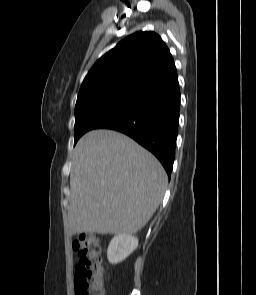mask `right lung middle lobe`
Masks as SVG:
<instances>
[{
	"mask_svg": "<svg viewBox=\"0 0 256 295\" xmlns=\"http://www.w3.org/2000/svg\"><path fill=\"white\" fill-rule=\"evenodd\" d=\"M136 92L115 95L94 104L75 106V143L87 131L99 128L119 114L135 98Z\"/></svg>",
	"mask_w": 256,
	"mask_h": 295,
	"instance_id": "obj_1",
	"label": "right lung middle lobe"
}]
</instances>
